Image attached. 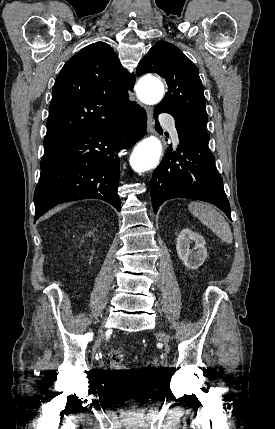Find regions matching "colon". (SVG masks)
I'll return each instance as SVG.
<instances>
[{
	"label": "colon",
	"mask_w": 275,
	"mask_h": 429,
	"mask_svg": "<svg viewBox=\"0 0 275 429\" xmlns=\"http://www.w3.org/2000/svg\"><path fill=\"white\" fill-rule=\"evenodd\" d=\"M125 356V351L123 348H116L112 350L109 354V362L114 368V372L118 377H126L127 371L123 367V359Z\"/></svg>",
	"instance_id": "5ec220e1"
}]
</instances>
